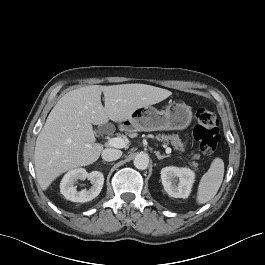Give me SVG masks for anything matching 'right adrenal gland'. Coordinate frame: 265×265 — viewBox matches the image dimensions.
<instances>
[{
    "label": "right adrenal gland",
    "mask_w": 265,
    "mask_h": 265,
    "mask_svg": "<svg viewBox=\"0 0 265 265\" xmlns=\"http://www.w3.org/2000/svg\"><path fill=\"white\" fill-rule=\"evenodd\" d=\"M104 164H107L105 161H102Z\"/></svg>",
    "instance_id": "2a0ac1e0"
}]
</instances>
